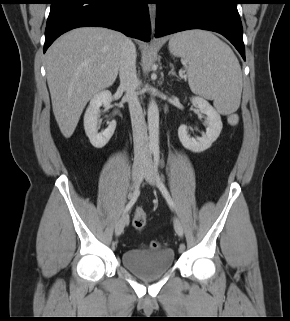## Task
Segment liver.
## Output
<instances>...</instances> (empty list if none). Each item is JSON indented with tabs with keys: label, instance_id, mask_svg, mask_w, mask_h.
<instances>
[{
	"label": "liver",
	"instance_id": "1",
	"mask_svg": "<svg viewBox=\"0 0 290 321\" xmlns=\"http://www.w3.org/2000/svg\"><path fill=\"white\" fill-rule=\"evenodd\" d=\"M125 35L103 27H81L60 36L47 50L52 108L65 138L75 131L87 102L117 78Z\"/></svg>",
	"mask_w": 290,
	"mask_h": 321
}]
</instances>
